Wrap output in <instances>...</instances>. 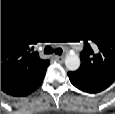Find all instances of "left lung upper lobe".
<instances>
[{"mask_svg":"<svg viewBox=\"0 0 115 114\" xmlns=\"http://www.w3.org/2000/svg\"><path fill=\"white\" fill-rule=\"evenodd\" d=\"M82 40L81 66L73 73L112 84L115 81V19L94 26Z\"/></svg>","mask_w":115,"mask_h":114,"instance_id":"obj_1","label":"left lung upper lobe"}]
</instances>
